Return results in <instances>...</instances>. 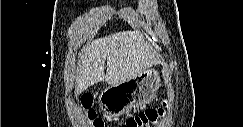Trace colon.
Listing matches in <instances>:
<instances>
[{
    "label": "colon",
    "mask_w": 243,
    "mask_h": 127,
    "mask_svg": "<svg viewBox=\"0 0 243 127\" xmlns=\"http://www.w3.org/2000/svg\"><path fill=\"white\" fill-rule=\"evenodd\" d=\"M80 107L85 112L87 119L94 127H102L103 121L98 118L95 110L93 109V96L86 93L80 97ZM168 103L165 102L163 106L158 108H149L137 113L136 115L128 118L124 127H148L154 124L165 113Z\"/></svg>",
    "instance_id": "colon-1"
}]
</instances>
